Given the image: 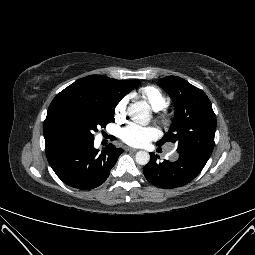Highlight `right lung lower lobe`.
Here are the masks:
<instances>
[{"label":"right lung lower lobe","instance_id":"1","mask_svg":"<svg viewBox=\"0 0 255 255\" xmlns=\"http://www.w3.org/2000/svg\"><path fill=\"white\" fill-rule=\"evenodd\" d=\"M93 143L94 140H69L46 148L48 162L65 184L91 190L108 178L123 149L109 144L98 153Z\"/></svg>","mask_w":255,"mask_h":255}]
</instances>
